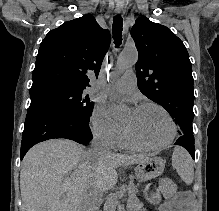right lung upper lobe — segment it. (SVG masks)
<instances>
[{"label":"right lung upper lobe","instance_id":"1","mask_svg":"<svg viewBox=\"0 0 219 211\" xmlns=\"http://www.w3.org/2000/svg\"><path fill=\"white\" fill-rule=\"evenodd\" d=\"M109 45V31L102 29L93 16L65 22L50 31L40 45L31 91L49 84L84 90L90 86L88 76H98Z\"/></svg>","mask_w":219,"mask_h":211}]
</instances>
